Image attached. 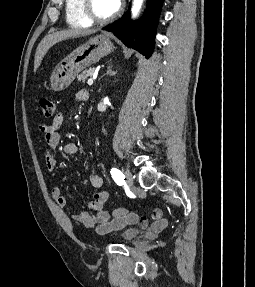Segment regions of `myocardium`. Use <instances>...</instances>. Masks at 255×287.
I'll return each mask as SVG.
<instances>
[{"label": "myocardium", "mask_w": 255, "mask_h": 287, "mask_svg": "<svg viewBox=\"0 0 255 287\" xmlns=\"http://www.w3.org/2000/svg\"><path fill=\"white\" fill-rule=\"evenodd\" d=\"M91 33H97V32H91ZM92 39H95V38H92ZM106 39H109V38H106ZM125 39H132V38H125ZM110 48V47H108ZM131 48H140V47H131Z\"/></svg>", "instance_id": "myocardium-1"}]
</instances>
